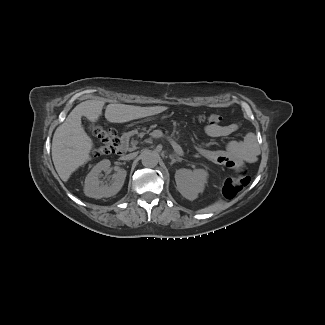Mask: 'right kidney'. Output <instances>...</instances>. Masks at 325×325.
I'll use <instances>...</instances> for the list:
<instances>
[{
  "label": "right kidney",
  "mask_w": 325,
  "mask_h": 325,
  "mask_svg": "<svg viewBox=\"0 0 325 325\" xmlns=\"http://www.w3.org/2000/svg\"><path fill=\"white\" fill-rule=\"evenodd\" d=\"M111 162L104 159L97 163L91 171L88 173L85 179L84 193L91 198H108L116 195L124 185V181L127 175L126 170L118 169L112 177L110 185H104L99 176L102 171L107 172L110 168Z\"/></svg>",
  "instance_id": "obj_1"
}]
</instances>
